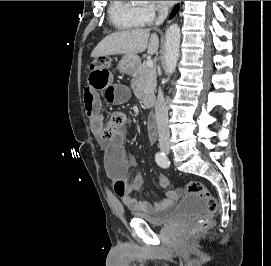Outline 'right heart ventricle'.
<instances>
[{
    "label": "right heart ventricle",
    "mask_w": 271,
    "mask_h": 266,
    "mask_svg": "<svg viewBox=\"0 0 271 266\" xmlns=\"http://www.w3.org/2000/svg\"><path fill=\"white\" fill-rule=\"evenodd\" d=\"M109 16L112 24L122 30L142 26L138 7L131 1H111Z\"/></svg>",
    "instance_id": "e07e8e85"
}]
</instances>
